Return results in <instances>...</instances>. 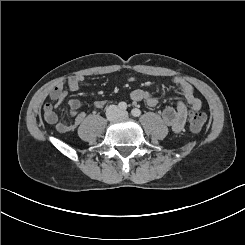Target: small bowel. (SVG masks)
Wrapping results in <instances>:
<instances>
[{
  "label": "small bowel",
  "mask_w": 245,
  "mask_h": 245,
  "mask_svg": "<svg viewBox=\"0 0 245 245\" xmlns=\"http://www.w3.org/2000/svg\"><path fill=\"white\" fill-rule=\"evenodd\" d=\"M133 79V77L128 78L129 81H132ZM82 81L83 78L81 76H75L69 78L66 84H58L50 92V99L52 102H47L43 107L45 121L54 126L61 133L76 129L85 119V113L81 111V103L77 99L68 101V108L72 121L60 120L55 111L56 106L67 96V92L78 90ZM173 83L177 87L179 93L184 97L185 101H178L175 107H166L162 112V118L164 123L174 132H180L186 123L188 109L199 110L201 101L196 96L193 87L185 80L175 78L173 79ZM130 97L135 102H145L148 107H156L159 103V100L150 92L142 89L133 90ZM106 103V100H97L94 102L93 108L95 110L101 109Z\"/></svg>",
  "instance_id": "obj_1"
}]
</instances>
